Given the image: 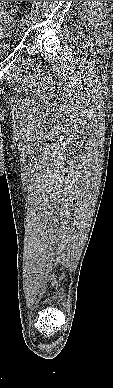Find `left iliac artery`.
<instances>
[{"label": "left iliac artery", "mask_w": 113, "mask_h": 388, "mask_svg": "<svg viewBox=\"0 0 113 388\" xmlns=\"http://www.w3.org/2000/svg\"><path fill=\"white\" fill-rule=\"evenodd\" d=\"M25 19H29V16H28V15H26V16H25Z\"/></svg>", "instance_id": "1"}]
</instances>
